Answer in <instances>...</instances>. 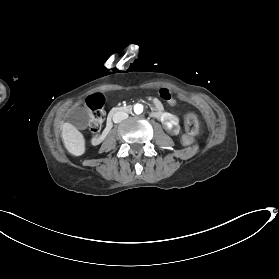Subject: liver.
<instances>
[{
    "instance_id": "liver-1",
    "label": "liver",
    "mask_w": 279,
    "mask_h": 279,
    "mask_svg": "<svg viewBox=\"0 0 279 279\" xmlns=\"http://www.w3.org/2000/svg\"><path fill=\"white\" fill-rule=\"evenodd\" d=\"M61 138L66 150L75 157L85 154L86 140L84 135L70 122L61 125Z\"/></svg>"
}]
</instances>
